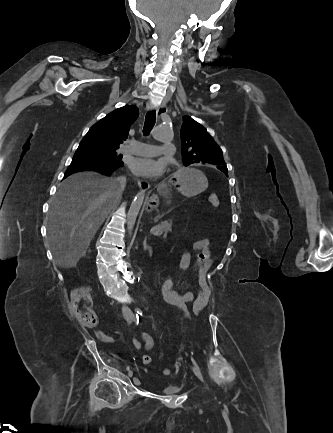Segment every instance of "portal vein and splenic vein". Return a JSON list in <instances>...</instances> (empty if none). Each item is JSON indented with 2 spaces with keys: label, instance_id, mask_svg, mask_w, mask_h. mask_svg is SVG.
Segmentation results:
<instances>
[{
  "label": "portal vein and splenic vein",
  "instance_id": "18ae733b",
  "mask_svg": "<svg viewBox=\"0 0 333 433\" xmlns=\"http://www.w3.org/2000/svg\"><path fill=\"white\" fill-rule=\"evenodd\" d=\"M151 233H152L153 235H159V232L156 231L154 228L151 229ZM163 238H165V237H163Z\"/></svg>",
  "mask_w": 333,
  "mask_h": 433
}]
</instances>
